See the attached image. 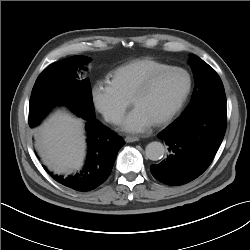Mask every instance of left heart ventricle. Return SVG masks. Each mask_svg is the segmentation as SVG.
<instances>
[{
    "label": "left heart ventricle",
    "mask_w": 250,
    "mask_h": 250,
    "mask_svg": "<svg viewBox=\"0 0 250 250\" xmlns=\"http://www.w3.org/2000/svg\"><path fill=\"white\" fill-rule=\"evenodd\" d=\"M186 86L184 73L168 72L159 77L147 93L137 98L134 106L140 108L154 123L174 108Z\"/></svg>",
    "instance_id": "obj_1"
}]
</instances>
